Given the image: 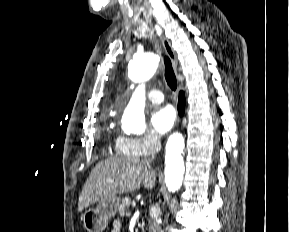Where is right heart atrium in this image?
<instances>
[{
	"label": "right heart atrium",
	"mask_w": 289,
	"mask_h": 232,
	"mask_svg": "<svg viewBox=\"0 0 289 232\" xmlns=\"http://www.w3.org/2000/svg\"><path fill=\"white\" fill-rule=\"evenodd\" d=\"M159 138L152 134L146 133L141 136L121 135L116 140V150L128 156H146L159 148Z\"/></svg>",
	"instance_id": "right-heart-atrium-1"
}]
</instances>
